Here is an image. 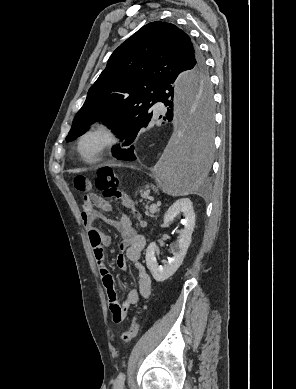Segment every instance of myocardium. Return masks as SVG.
Wrapping results in <instances>:
<instances>
[{
	"mask_svg": "<svg viewBox=\"0 0 296 389\" xmlns=\"http://www.w3.org/2000/svg\"><path fill=\"white\" fill-rule=\"evenodd\" d=\"M97 139L98 144L92 153L85 151V143L89 139ZM118 141L115 129L106 122H99L88 127L78 138L77 152L82 160L87 163L99 161L105 153Z\"/></svg>",
	"mask_w": 296,
	"mask_h": 389,
	"instance_id": "myocardium-1",
	"label": "myocardium"
}]
</instances>
